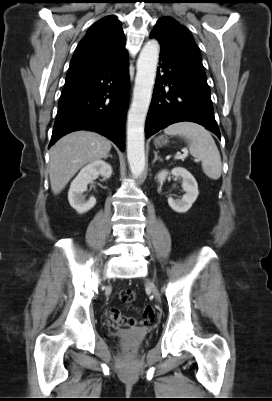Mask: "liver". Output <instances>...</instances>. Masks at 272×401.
Here are the masks:
<instances>
[{"mask_svg": "<svg viewBox=\"0 0 272 401\" xmlns=\"http://www.w3.org/2000/svg\"><path fill=\"white\" fill-rule=\"evenodd\" d=\"M111 142L91 131H75L57 141L50 150L49 177L52 192L59 194L84 165L106 158Z\"/></svg>", "mask_w": 272, "mask_h": 401, "instance_id": "liver-1", "label": "liver"}]
</instances>
